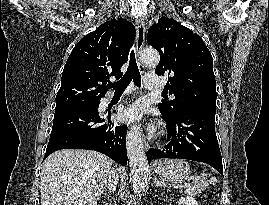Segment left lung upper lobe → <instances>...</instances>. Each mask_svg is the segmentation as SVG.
Instances as JSON below:
<instances>
[{
	"label": "left lung upper lobe",
	"instance_id": "left-lung-upper-lobe-1",
	"mask_svg": "<svg viewBox=\"0 0 269 205\" xmlns=\"http://www.w3.org/2000/svg\"><path fill=\"white\" fill-rule=\"evenodd\" d=\"M147 42L160 53L156 74L170 75L166 89L175 96L158 104L161 112L175 116L196 107L216 109L213 58L199 35L174 19L162 17L149 28Z\"/></svg>",
	"mask_w": 269,
	"mask_h": 205
}]
</instances>
